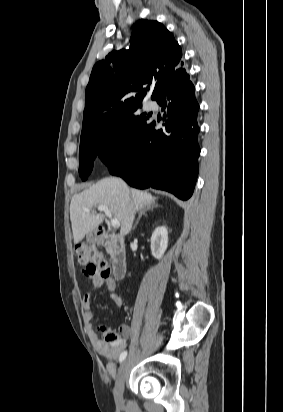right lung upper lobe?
Instances as JSON below:
<instances>
[{
  "instance_id": "obj_1",
  "label": "right lung upper lobe",
  "mask_w": 283,
  "mask_h": 412,
  "mask_svg": "<svg viewBox=\"0 0 283 412\" xmlns=\"http://www.w3.org/2000/svg\"><path fill=\"white\" fill-rule=\"evenodd\" d=\"M130 43L128 50L113 51L93 67L85 92L81 139L116 127L141 107L150 88L151 99L156 100L165 87L189 78L181 47L159 22L137 21Z\"/></svg>"
}]
</instances>
